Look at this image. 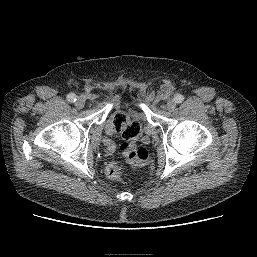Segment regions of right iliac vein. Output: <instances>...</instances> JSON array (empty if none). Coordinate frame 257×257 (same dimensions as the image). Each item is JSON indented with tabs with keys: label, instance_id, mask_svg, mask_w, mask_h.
<instances>
[{
	"label": "right iliac vein",
	"instance_id": "obj_1",
	"mask_svg": "<svg viewBox=\"0 0 257 257\" xmlns=\"http://www.w3.org/2000/svg\"><path fill=\"white\" fill-rule=\"evenodd\" d=\"M75 106L79 109L83 108L85 106V99L83 97H79L75 102Z\"/></svg>",
	"mask_w": 257,
	"mask_h": 257
}]
</instances>
